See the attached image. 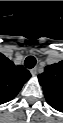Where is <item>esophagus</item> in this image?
Wrapping results in <instances>:
<instances>
[{
	"mask_svg": "<svg viewBox=\"0 0 63 123\" xmlns=\"http://www.w3.org/2000/svg\"><path fill=\"white\" fill-rule=\"evenodd\" d=\"M30 72L33 76H35L37 74V67L32 68Z\"/></svg>",
	"mask_w": 63,
	"mask_h": 123,
	"instance_id": "esophagus-1",
	"label": "esophagus"
}]
</instances>
